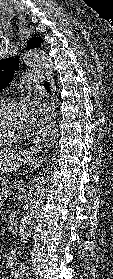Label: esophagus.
Masks as SVG:
<instances>
[{
  "mask_svg": "<svg viewBox=\"0 0 113 279\" xmlns=\"http://www.w3.org/2000/svg\"><path fill=\"white\" fill-rule=\"evenodd\" d=\"M49 84H50V90H51V98H50V110L47 116L45 117L44 121L42 122V127L47 124L53 117L55 112V92H56V86L54 79L47 75ZM42 148L41 138L39 135H37L36 139L34 140L31 147L24 151V155H33L37 152H39Z\"/></svg>",
  "mask_w": 113,
  "mask_h": 279,
  "instance_id": "obj_1",
  "label": "esophagus"
}]
</instances>
